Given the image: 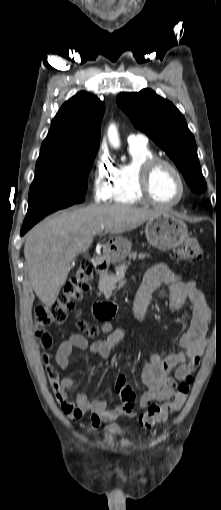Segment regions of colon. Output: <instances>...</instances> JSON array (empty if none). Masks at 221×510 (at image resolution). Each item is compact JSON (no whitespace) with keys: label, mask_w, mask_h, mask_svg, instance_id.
Wrapping results in <instances>:
<instances>
[{"label":"colon","mask_w":221,"mask_h":510,"mask_svg":"<svg viewBox=\"0 0 221 510\" xmlns=\"http://www.w3.org/2000/svg\"><path fill=\"white\" fill-rule=\"evenodd\" d=\"M177 258L184 262L194 263L202 258V250L198 241L194 238L187 239L177 250ZM93 278V266L88 260L80 263L76 273L66 284L63 293L52 303L39 305L34 309V320L38 326H46L52 323H63L68 314L74 310L75 304L81 299L83 293L87 291L89 282ZM78 328L87 335L94 337L99 333V328L89 325L84 320H79ZM109 325L103 329L108 330ZM36 337L43 348L42 359L47 366V377L52 385H55L58 379L57 373L51 365V355L49 353L52 347V338L44 330L38 329ZM192 382L191 374H187L178 385L175 397L162 404H150L147 411L139 416V424L144 429H151L156 425L166 422L170 413L176 412L182 408L188 397ZM98 426V425H97ZM93 426V427H97Z\"/></svg>","instance_id":"obj_1"}]
</instances>
